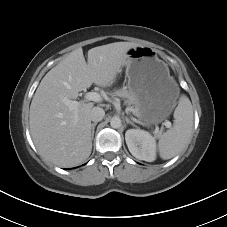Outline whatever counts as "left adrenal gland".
<instances>
[{
    "mask_svg": "<svg viewBox=\"0 0 227 227\" xmlns=\"http://www.w3.org/2000/svg\"><path fill=\"white\" fill-rule=\"evenodd\" d=\"M125 121L127 124H131L132 126L136 127V125L131 120H129L128 117H125Z\"/></svg>",
    "mask_w": 227,
    "mask_h": 227,
    "instance_id": "obj_1",
    "label": "left adrenal gland"
}]
</instances>
